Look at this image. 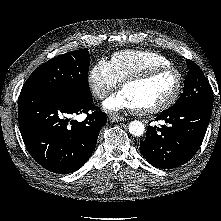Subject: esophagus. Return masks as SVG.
<instances>
[{
    "label": "esophagus",
    "mask_w": 221,
    "mask_h": 221,
    "mask_svg": "<svg viewBox=\"0 0 221 221\" xmlns=\"http://www.w3.org/2000/svg\"><path fill=\"white\" fill-rule=\"evenodd\" d=\"M110 122H119V121H124L125 118L122 116H117V115H109L108 117Z\"/></svg>",
    "instance_id": "34e87169"
}]
</instances>
